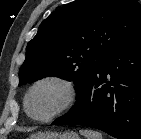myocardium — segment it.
<instances>
[{
  "label": "myocardium",
  "mask_w": 141,
  "mask_h": 139,
  "mask_svg": "<svg viewBox=\"0 0 141 139\" xmlns=\"http://www.w3.org/2000/svg\"><path fill=\"white\" fill-rule=\"evenodd\" d=\"M48 82L57 83L64 88L66 92L64 103L61 105L59 109H57L54 113H52L51 115L47 117H44V118L35 117L34 115L31 114L29 110V98L35 88H37L41 84L48 83ZM77 98H78V89L72 80L61 75L51 74V75H46L37 79L30 85L24 97V108H25L26 114L32 120L41 122V123H46L58 118L59 116L63 115L65 112L70 110L75 105Z\"/></svg>",
  "instance_id": "obj_1"
}]
</instances>
